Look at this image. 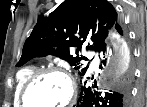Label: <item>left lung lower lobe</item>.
I'll return each instance as SVG.
<instances>
[{"label":"left lung lower lobe","mask_w":147,"mask_h":107,"mask_svg":"<svg viewBox=\"0 0 147 107\" xmlns=\"http://www.w3.org/2000/svg\"><path fill=\"white\" fill-rule=\"evenodd\" d=\"M115 29L119 34H123L120 25H116ZM106 51V45L100 52L103 54ZM106 60L103 61V64ZM102 68V66H99ZM85 79V75L82 76ZM86 79H89L87 77ZM93 79V78H92ZM130 75L118 84L113 90L107 91H92L90 87H86L87 81L83 82L81 96L79 102L74 107H127L130 98ZM96 87V83H95Z\"/></svg>","instance_id":"0a47b994"}]
</instances>
